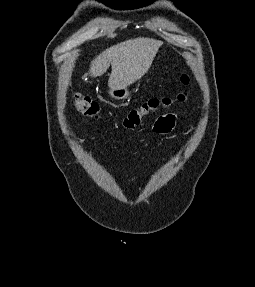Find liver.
<instances>
[{
  "label": "liver",
  "mask_w": 255,
  "mask_h": 287,
  "mask_svg": "<svg viewBox=\"0 0 255 287\" xmlns=\"http://www.w3.org/2000/svg\"><path fill=\"white\" fill-rule=\"evenodd\" d=\"M163 42L151 38H135L107 48L91 62L89 76L97 78L112 66L109 88L130 86L147 74Z\"/></svg>",
  "instance_id": "6515ba94"
}]
</instances>
